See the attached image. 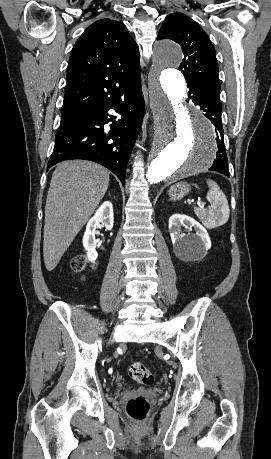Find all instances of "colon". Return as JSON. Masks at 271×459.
<instances>
[{
    "label": "colon",
    "mask_w": 271,
    "mask_h": 459,
    "mask_svg": "<svg viewBox=\"0 0 271 459\" xmlns=\"http://www.w3.org/2000/svg\"><path fill=\"white\" fill-rule=\"evenodd\" d=\"M76 3L78 0H69ZM87 259L84 255H77L71 261V267L75 272H82L87 266ZM92 266H95L93 264ZM130 377L142 384L150 385L154 378L150 370L141 362H133L129 366ZM150 411V404L143 396H137L130 399L126 405L128 416L136 422H142Z\"/></svg>",
    "instance_id": "1"
}]
</instances>
